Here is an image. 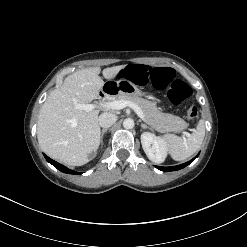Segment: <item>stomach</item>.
<instances>
[{
  "instance_id": "obj_1",
  "label": "stomach",
  "mask_w": 247,
  "mask_h": 247,
  "mask_svg": "<svg viewBox=\"0 0 247 247\" xmlns=\"http://www.w3.org/2000/svg\"><path fill=\"white\" fill-rule=\"evenodd\" d=\"M127 84H125L123 81H119L117 83L118 87L120 88L121 94H126L130 96H141L143 93L137 88V86L129 81H126ZM151 97V95H148Z\"/></svg>"
}]
</instances>
